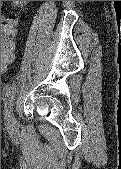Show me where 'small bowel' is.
Masks as SVG:
<instances>
[{
    "instance_id": "c3829d8e",
    "label": "small bowel",
    "mask_w": 121,
    "mask_h": 169,
    "mask_svg": "<svg viewBox=\"0 0 121 169\" xmlns=\"http://www.w3.org/2000/svg\"><path fill=\"white\" fill-rule=\"evenodd\" d=\"M18 3H20V4H24V3H27L28 1H17ZM6 71V69H1V72H5Z\"/></svg>"
}]
</instances>
